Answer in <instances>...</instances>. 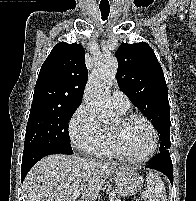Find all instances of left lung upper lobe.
I'll use <instances>...</instances> for the list:
<instances>
[{
	"label": "left lung upper lobe",
	"mask_w": 196,
	"mask_h": 201,
	"mask_svg": "<svg viewBox=\"0 0 196 201\" xmlns=\"http://www.w3.org/2000/svg\"><path fill=\"white\" fill-rule=\"evenodd\" d=\"M117 82L130 101L157 130L160 151L170 148V108L163 70L153 49L145 42L122 43L115 53Z\"/></svg>",
	"instance_id": "5c2ea615"
}]
</instances>
